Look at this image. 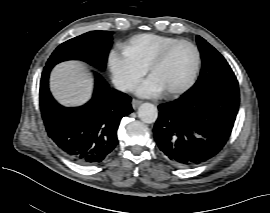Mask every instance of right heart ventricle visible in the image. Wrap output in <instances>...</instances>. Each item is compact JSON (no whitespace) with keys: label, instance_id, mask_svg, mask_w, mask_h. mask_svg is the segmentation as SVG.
I'll return each instance as SVG.
<instances>
[{"label":"right heart ventricle","instance_id":"obj_1","mask_svg":"<svg viewBox=\"0 0 270 213\" xmlns=\"http://www.w3.org/2000/svg\"><path fill=\"white\" fill-rule=\"evenodd\" d=\"M179 40L174 37L143 34L133 38L130 44L124 47V51L132 62L148 67L161 51Z\"/></svg>","mask_w":270,"mask_h":213}]
</instances>
